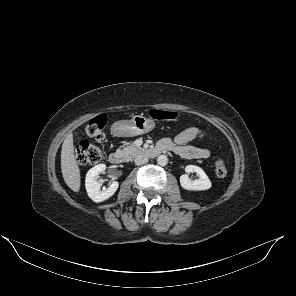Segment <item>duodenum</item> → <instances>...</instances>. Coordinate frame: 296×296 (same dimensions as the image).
<instances>
[{
	"label": "duodenum",
	"instance_id": "obj_1",
	"mask_svg": "<svg viewBox=\"0 0 296 296\" xmlns=\"http://www.w3.org/2000/svg\"><path fill=\"white\" fill-rule=\"evenodd\" d=\"M167 151V149L162 146V145H158L155 147H151V148H147L145 150L146 155H148L149 157H157L158 155H160L161 153ZM124 155L121 152H112L109 155V161L110 163H112L113 165H120L124 162Z\"/></svg>",
	"mask_w": 296,
	"mask_h": 296
}]
</instances>
